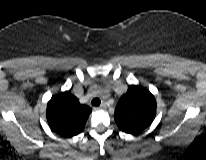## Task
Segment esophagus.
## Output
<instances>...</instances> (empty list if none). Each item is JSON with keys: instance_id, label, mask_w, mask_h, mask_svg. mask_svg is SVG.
Segmentation results:
<instances>
[{"instance_id": "esophagus-1", "label": "esophagus", "mask_w": 206, "mask_h": 160, "mask_svg": "<svg viewBox=\"0 0 206 160\" xmlns=\"http://www.w3.org/2000/svg\"><path fill=\"white\" fill-rule=\"evenodd\" d=\"M106 107V103L102 102L99 107H95L94 109H104Z\"/></svg>"}]
</instances>
